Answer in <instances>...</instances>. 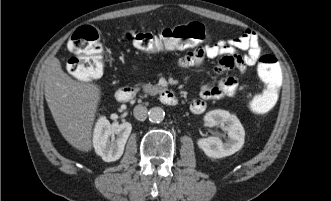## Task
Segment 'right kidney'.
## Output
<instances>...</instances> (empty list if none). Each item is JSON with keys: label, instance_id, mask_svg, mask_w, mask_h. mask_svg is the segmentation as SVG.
<instances>
[{"label": "right kidney", "instance_id": "right-kidney-1", "mask_svg": "<svg viewBox=\"0 0 331 201\" xmlns=\"http://www.w3.org/2000/svg\"><path fill=\"white\" fill-rule=\"evenodd\" d=\"M131 130L132 126L128 122L110 124L106 117H100L93 134V146L96 153L106 162L118 160L124 152Z\"/></svg>", "mask_w": 331, "mask_h": 201}]
</instances>
